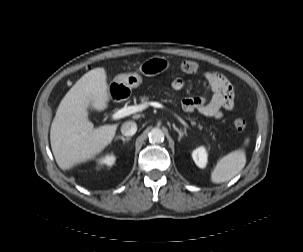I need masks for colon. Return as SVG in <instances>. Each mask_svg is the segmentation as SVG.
<instances>
[{
    "label": "colon",
    "instance_id": "obj_1",
    "mask_svg": "<svg viewBox=\"0 0 303 252\" xmlns=\"http://www.w3.org/2000/svg\"><path fill=\"white\" fill-rule=\"evenodd\" d=\"M179 69L188 74L197 73L199 70V65L195 61L184 60L179 63ZM234 126L237 131L243 132L247 127V122L245 119L238 117L234 120Z\"/></svg>",
    "mask_w": 303,
    "mask_h": 252
}]
</instances>
